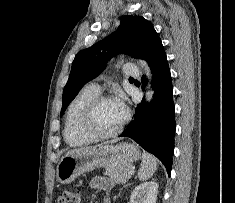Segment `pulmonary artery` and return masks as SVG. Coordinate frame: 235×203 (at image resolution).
Masks as SVG:
<instances>
[{
  "instance_id": "obj_1",
  "label": "pulmonary artery",
  "mask_w": 235,
  "mask_h": 203,
  "mask_svg": "<svg viewBox=\"0 0 235 203\" xmlns=\"http://www.w3.org/2000/svg\"><path fill=\"white\" fill-rule=\"evenodd\" d=\"M124 72L126 75L136 76L138 75V70L132 64H126L124 67ZM93 88L99 91L100 87L97 84L91 85Z\"/></svg>"
}]
</instances>
